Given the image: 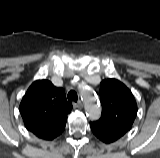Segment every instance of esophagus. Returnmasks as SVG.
<instances>
[{"label": "esophagus", "mask_w": 160, "mask_h": 158, "mask_svg": "<svg viewBox=\"0 0 160 158\" xmlns=\"http://www.w3.org/2000/svg\"><path fill=\"white\" fill-rule=\"evenodd\" d=\"M73 105H74V107H77L80 109L83 107V103L81 101H78L77 103H74Z\"/></svg>", "instance_id": "1"}]
</instances>
